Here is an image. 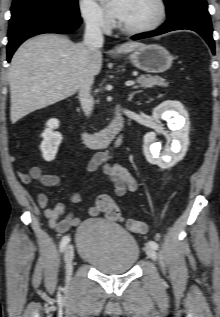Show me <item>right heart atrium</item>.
<instances>
[{
    "mask_svg": "<svg viewBox=\"0 0 220 317\" xmlns=\"http://www.w3.org/2000/svg\"><path fill=\"white\" fill-rule=\"evenodd\" d=\"M79 12L89 28L107 31L111 26L110 19L95 0H79Z\"/></svg>",
    "mask_w": 220,
    "mask_h": 317,
    "instance_id": "obj_1",
    "label": "right heart atrium"
}]
</instances>
